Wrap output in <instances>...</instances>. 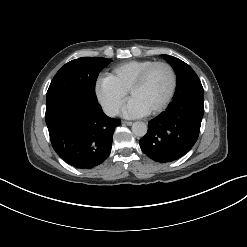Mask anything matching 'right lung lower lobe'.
Returning <instances> with one entry per match:
<instances>
[{
    "label": "right lung lower lobe",
    "instance_id": "right-lung-lower-lobe-1",
    "mask_svg": "<svg viewBox=\"0 0 247 247\" xmlns=\"http://www.w3.org/2000/svg\"><path fill=\"white\" fill-rule=\"evenodd\" d=\"M46 124L57 154L68 164L90 169L110 154L119 119L106 116L97 99L65 94L46 102Z\"/></svg>",
    "mask_w": 247,
    "mask_h": 247
}]
</instances>
